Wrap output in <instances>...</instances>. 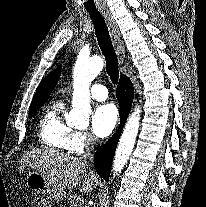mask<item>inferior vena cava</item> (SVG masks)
<instances>
[{
	"mask_svg": "<svg viewBox=\"0 0 206 207\" xmlns=\"http://www.w3.org/2000/svg\"><path fill=\"white\" fill-rule=\"evenodd\" d=\"M95 140L93 137H90L88 141L86 142V153L81 157L83 161H86L87 159H92L93 155L91 154V151L94 147Z\"/></svg>",
	"mask_w": 206,
	"mask_h": 207,
	"instance_id": "obj_1",
	"label": "inferior vena cava"
}]
</instances>
